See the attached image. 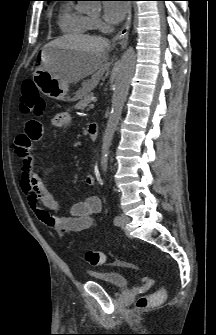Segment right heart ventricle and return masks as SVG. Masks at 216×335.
I'll return each instance as SVG.
<instances>
[{
	"mask_svg": "<svg viewBox=\"0 0 216 335\" xmlns=\"http://www.w3.org/2000/svg\"><path fill=\"white\" fill-rule=\"evenodd\" d=\"M58 26L62 33L84 35L94 29L92 18L79 11L73 4H64L58 15Z\"/></svg>",
	"mask_w": 216,
	"mask_h": 335,
	"instance_id": "right-heart-ventricle-1",
	"label": "right heart ventricle"
}]
</instances>
